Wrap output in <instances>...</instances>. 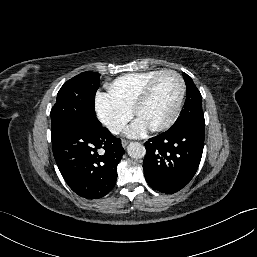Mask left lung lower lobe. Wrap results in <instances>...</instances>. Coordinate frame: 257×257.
I'll return each mask as SVG.
<instances>
[{
	"label": "left lung lower lobe",
	"mask_w": 257,
	"mask_h": 257,
	"mask_svg": "<svg viewBox=\"0 0 257 257\" xmlns=\"http://www.w3.org/2000/svg\"><path fill=\"white\" fill-rule=\"evenodd\" d=\"M204 134L205 124L188 123L150 138L143 164L147 183L166 194L185 187L200 164Z\"/></svg>",
	"instance_id": "left-lung-lower-lobe-1"
}]
</instances>
